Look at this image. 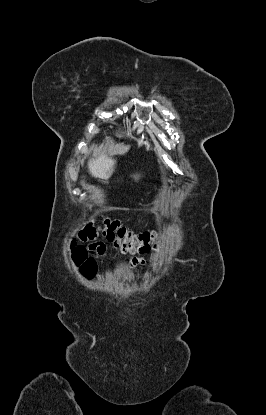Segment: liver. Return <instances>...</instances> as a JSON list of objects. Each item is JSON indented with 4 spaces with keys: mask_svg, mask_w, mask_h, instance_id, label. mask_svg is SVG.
Wrapping results in <instances>:
<instances>
[{
    "mask_svg": "<svg viewBox=\"0 0 266 415\" xmlns=\"http://www.w3.org/2000/svg\"><path fill=\"white\" fill-rule=\"evenodd\" d=\"M115 163V160L102 153L96 160L88 162L89 172L96 178L108 180L114 170Z\"/></svg>",
    "mask_w": 266,
    "mask_h": 415,
    "instance_id": "liver-1",
    "label": "liver"
}]
</instances>
